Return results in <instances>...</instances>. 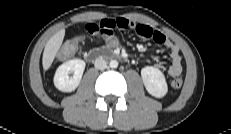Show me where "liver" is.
I'll return each instance as SVG.
<instances>
[{
  "label": "liver",
  "instance_id": "6515ba94",
  "mask_svg": "<svg viewBox=\"0 0 231 134\" xmlns=\"http://www.w3.org/2000/svg\"><path fill=\"white\" fill-rule=\"evenodd\" d=\"M64 36L65 29H61L46 43L42 57V65L44 70H48L53 63V60L62 45Z\"/></svg>",
  "mask_w": 231,
  "mask_h": 134
}]
</instances>
